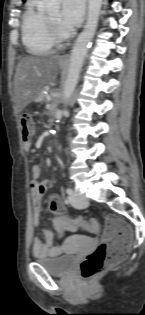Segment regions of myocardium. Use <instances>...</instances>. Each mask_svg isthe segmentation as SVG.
I'll list each match as a JSON object with an SVG mask.
<instances>
[{
	"mask_svg": "<svg viewBox=\"0 0 145 315\" xmlns=\"http://www.w3.org/2000/svg\"><path fill=\"white\" fill-rule=\"evenodd\" d=\"M46 25L50 37L54 41V43L59 44L67 39L68 34L66 33V31L55 24L48 15H46Z\"/></svg>",
	"mask_w": 145,
	"mask_h": 315,
	"instance_id": "obj_1",
	"label": "myocardium"
}]
</instances>
